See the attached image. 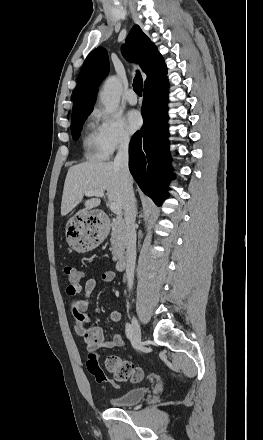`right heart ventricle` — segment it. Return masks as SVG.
Segmentation results:
<instances>
[{
	"label": "right heart ventricle",
	"mask_w": 263,
	"mask_h": 440,
	"mask_svg": "<svg viewBox=\"0 0 263 440\" xmlns=\"http://www.w3.org/2000/svg\"><path fill=\"white\" fill-rule=\"evenodd\" d=\"M84 155L90 160H100L106 157L103 152L97 133V127L90 122L83 140Z\"/></svg>",
	"instance_id": "obj_1"
}]
</instances>
